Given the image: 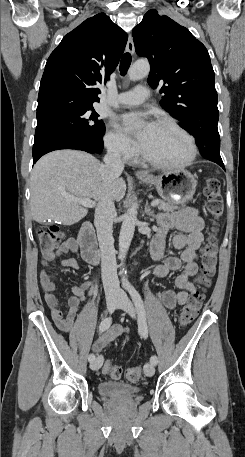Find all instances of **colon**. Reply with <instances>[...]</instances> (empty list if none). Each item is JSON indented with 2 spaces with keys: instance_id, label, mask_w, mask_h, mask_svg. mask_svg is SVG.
I'll return each instance as SVG.
<instances>
[{
  "instance_id": "1",
  "label": "colon",
  "mask_w": 245,
  "mask_h": 457,
  "mask_svg": "<svg viewBox=\"0 0 245 457\" xmlns=\"http://www.w3.org/2000/svg\"><path fill=\"white\" fill-rule=\"evenodd\" d=\"M204 194L206 196V210L213 226L201 249V286L193 292L181 310L179 324L182 327L188 326L195 319L205 297V291L211 284V279L215 274L217 265L218 242L215 234L216 225L224 211L220 182L217 178H208ZM38 237L42 252L44 254H50L59 246L63 238V232L56 225L43 226L38 230ZM102 372L114 379L119 378L121 375V369L110 360L104 362ZM124 376L127 381L137 382L142 377V368L140 366L129 367L125 370Z\"/></svg>"
}]
</instances>
